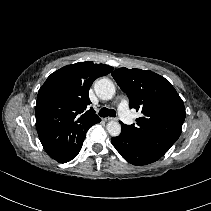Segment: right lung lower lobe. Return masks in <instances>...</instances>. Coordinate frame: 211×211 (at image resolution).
I'll list each match as a JSON object with an SVG mask.
<instances>
[{"mask_svg":"<svg viewBox=\"0 0 211 211\" xmlns=\"http://www.w3.org/2000/svg\"><path fill=\"white\" fill-rule=\"evenodd\" d=\"M86 132H87V130L78 134V136L76 138V143L74 144V146L69 151H67L63 156L53 158V159H55L56 161H58L60 163H66V162L72 160L73 158H75L76 155L81 150L82 143L84 141Z\"/></svg>","mask_w":211,"mask_h":211,"instance_id":"obj_1","label":"right lung lower lobe"}]
</instances>
